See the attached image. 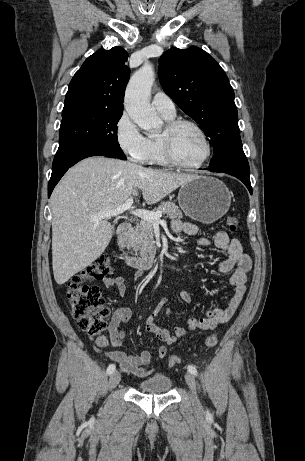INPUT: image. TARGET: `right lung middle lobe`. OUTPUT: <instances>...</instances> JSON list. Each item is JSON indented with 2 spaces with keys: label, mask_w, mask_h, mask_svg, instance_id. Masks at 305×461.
<instances>
[{
  "label": "right lung middle lobe",
  "mask_w": 305,
  "mask_h": 461,
  "mask_svg": "<svg viewBox=\"0 0 305 461\" xmlns=\"http://www.w3.org/2000/svg\"><path fill=\"white\" fill-rule=\"evenodd\" d=\"M121 111L93 106L63 108L59 148L56 154L81 148H102L126 160L117 139Z\"/></svg>",
  "instance_id": "1"
}]
</instances>
